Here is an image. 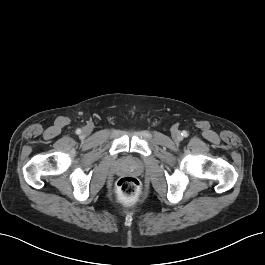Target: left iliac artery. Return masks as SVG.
I'll return each instance as SVG.
<instances>
[{
  "label": "left iliac artery",
  "mask_w": 265,
  "mask_h": 265,
  "mask_svg": "<svg viewBox=\"0 0 265 265\" xmlns=\"http://www.w3.org/2000/svg\"><path fill=\"white\" fill-rule=\"evenodd\" d=\"M182 136L186 137L187 136V132L183 131Z\"/></svg>",
  "instance_id": "obj_1"
}]
</instances>
